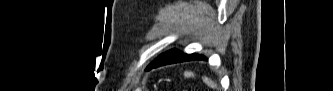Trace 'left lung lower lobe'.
Returning a JSON list of instances; mask_svg holds the SVG:
<instances>
[{"label": "left lung lower lobe", "instance_id": "obj_1", "mask_svg": "<svg viewBox=\"0 0 333 91\" xmlns=\"http://www.w3.org/2000/svg\"><path fill=\"white\" fill-rule=\"evenodd\" d=\"M201 59H205V57L203 55H197V54H185L183 52H179L178 50L174 49V50H170V51L158 56L147 67V70L161 66V65L172 64V63L183 62V61H190V60H201Z\"/></svg>", "mask_w": 333, "mask_h": 91}]
</instances>
